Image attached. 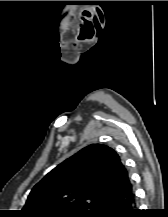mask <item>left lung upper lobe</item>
I'll use <instances>...</instances> for the list:
<instances>
[{"mask_svg":"<svg viewBox=\"0 0 168 217\" xmlns=\"http://www.w3.org/2000/svg\"><path fill=\"white\" fill-rule=\"evenodd\" d=\"M129 182L118 154L92 144L37 183L23 211L28 217H97L105 202Z\"/></svg>","mask_w":168,"mask_h":217,"instance_id":"obj_1","label":"left lung upper lobe"}]
</instances>
